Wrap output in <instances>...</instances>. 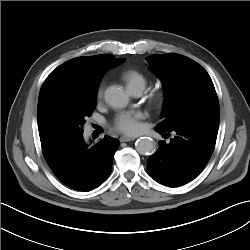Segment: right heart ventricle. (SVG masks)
I'll return each instance as SVG.
<instances>
[{
    "label": "right heart ventricle",
    "instance_id": "1",
    "mask_svg": "<svg viewBox=\"0 0 250 250\" xmlns=\"http://www.w3.org/2000/svg\"><path fill=\"white\" fill-rule=\"evenodd\" d=\"M122 78L126 82L129 89L137 86L144 88L147 83L145 75L135 69H129L123 72Z\"/></svg>",
    "mask_w": 250,
    "mask_h": 250
}]
</instances>
